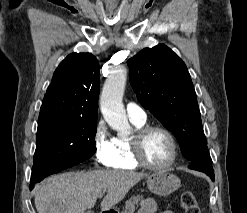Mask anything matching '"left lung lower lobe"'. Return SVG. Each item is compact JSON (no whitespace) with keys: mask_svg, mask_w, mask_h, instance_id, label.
<instances>
[{"mask_svg":"<svg viewBox=\"0 0 247 213\" xmlns=\"http://www.w3.org/2000/svg\"><path fill=\"white\" fill-rule=\"evenodd\" d=\"M191 161L189 168L206 173L214 181V170L207 146L202 147Z\"/></svg>","mask_w":247,"mask_h":213,"instance_id":"0a47b994","label":"left lung lower lobe"}]
</instances>
